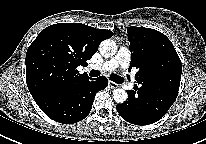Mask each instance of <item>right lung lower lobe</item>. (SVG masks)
<instances>
[{"label": "right lung lower lobe", "instance_id": "obj_1", "mask_svg": "<svg viewBox=\"0 0 206 144\" xmlns=\"http://www.w3.org/2000/svg\"><path fill=\"white\" fill-rule=\"evenodd\" d=\"M107 85L108 79L103 76L88 79L73 88L53 92L36 103L51 119L64 124L76 123L90 113L96 93Z\"/></svg>", "mask_w": 206, "mask_h": 144}]
</instances>
